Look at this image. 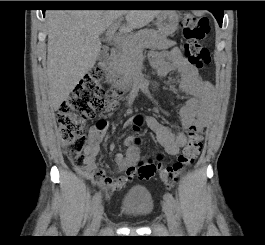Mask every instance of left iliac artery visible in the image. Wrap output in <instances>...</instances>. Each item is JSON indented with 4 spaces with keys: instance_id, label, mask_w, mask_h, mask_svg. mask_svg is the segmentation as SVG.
Segmentation results:
<instances>
[{
    "instance_id": "obj_1",
    "label": "left iliac artery",
    "mask_w": 265,
    "mask_h": 245,
    "mask_svg": "<svg viewBox=\"0 0 265 245\" xmlns=\"http://www.w3.org/2000/svg\"><path fill=\"white\" fill-rule=\"evenodd\" d=\"M164 199L170 204L173 209H176V201L172 194H170L169 192L165 193Z\"/></svg>"
}]
</instances>
